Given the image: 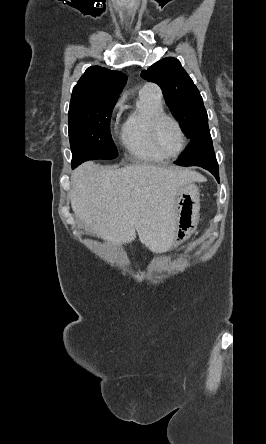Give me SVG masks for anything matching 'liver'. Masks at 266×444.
<instances>
[{"mask_svg": "<svg viewBox=\"0 0 266 444\" xmlns=\"http://www.w3.org/2000/svg\"><path fill=\"white\" fill-rule=\"evenodd\" d=\"M199 180L189 169L86 162L72 174L71 206L90 233L119 245L134 241L137 231L142 244L161 253L174 241L175 193Z\"/></svg>", "mask_w": 266, "mask_h": 444, "instance_id": "obj_1", "label": "liver"}]
</instances>
